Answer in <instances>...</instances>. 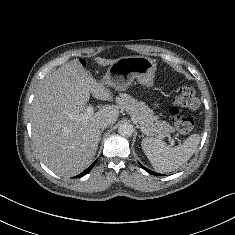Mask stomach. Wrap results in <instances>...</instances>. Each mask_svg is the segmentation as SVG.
Returning <instances> with one entry per match:
<instances>
[{"instance_id":"stomach-1","label":"stomach","mask_w":235,"mask_h":235,"mask_svg":"<svg viewBox=\"0 0 235 235\" xmlns=\"http://www.w3.org/2000/svg\"><path fill=\"white\" fill-rule=\"evenodd\" d=\"M155 77V64L153 60L145 56H128L118 58L112 63L101 82L115 88L124 90L134 80L146 87L153 86Z\"/></svg>"}]
</instances>
